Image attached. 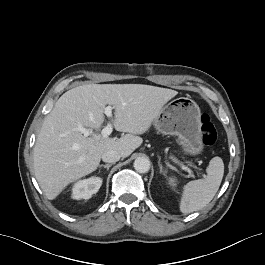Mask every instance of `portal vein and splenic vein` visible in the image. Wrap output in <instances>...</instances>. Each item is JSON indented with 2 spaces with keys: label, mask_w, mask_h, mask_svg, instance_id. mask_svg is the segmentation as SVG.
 <instances>
[{
  "label": "portal vein and splenic vein",
  "mask_w": 265,
  "mask_h": 265,
  "mask_svg": "<svg viewBox=\"0 0 265 265\" xmlns=\"http://www.w3.org/2000/svg\"><path fill=\"white\" fill-rule=\"evenodd\" d=\"M112 109L113 107L107 106L104 110L105 115L109 118L112 117ZM78 130L81 133H83L85 136H89L92 133V131H89L88 129L82 126H79ZM112 131H113V125L111 122H109L101 131L102 138H108V136L112 133ZM181 167L183 170L187 171L191 177H194L193 171L190 168H188L187 166L183 164H181Z\"/></svg>",
  "instance_id": "18ae733b"
}]
</instances>
